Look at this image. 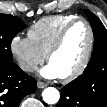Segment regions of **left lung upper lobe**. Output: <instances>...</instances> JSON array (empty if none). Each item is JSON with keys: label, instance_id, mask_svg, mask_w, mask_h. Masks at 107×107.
I'll list each match as a JSON object with an SVG mask.
<instances>
[{"label": "left lung upper lobe", "instance_id": "left-lung-upper-lobe-1", "mask_svg": "<svg viewBox=\"0 0 107 107\" xmlns=\"http://www.w3.org/2000/svg\"><path fill=\"white\" fill-rule=\"evenodd\" d=\"M85 14L88 17L94 32V50L84 73L73 82L90 86L92 79L94 78L96 68L99 66V57L102 56L107 64V30L102 22L92 12L85 10Z\"/></svg>", "mask_w": 107, "mask_h": 107}]
</instances>
